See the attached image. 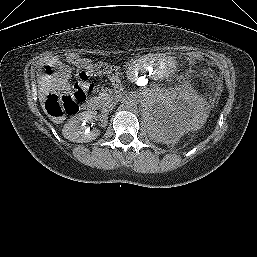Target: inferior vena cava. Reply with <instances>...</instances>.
<instances>
[{
  "mask_svg": "<svg viewBox=\"0 0 257 257\" xmlns=\"http://www.w3.org/2000/svg\"><path fill=\"white\" fill-rule=\"evenodd\" d=\"M116 105V102L114 101H107L106 103H104L103 107H102V112L106 113L111 111Z\"/></svg>",
  "mask_w": 257,
  "mask_h": 257,
  "instance_id": "inferior-vena-cava-1",
  "label": "inferior vena cava"
}]
</instances>
